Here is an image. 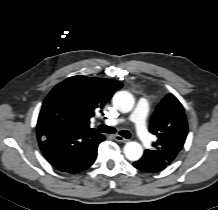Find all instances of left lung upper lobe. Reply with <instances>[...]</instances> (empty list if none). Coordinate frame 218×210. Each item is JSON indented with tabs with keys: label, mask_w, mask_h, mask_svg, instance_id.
I'll return each mask as SVG.
<instances>
[{
	"label": "left lung upper lobe",
	"mask_w": 218,
	"mask_h": 210,
	"mask_svg": "<svg viewBox=\"0 0 218 210\" xmlns=\"http://www.w3.org/2000/svg\"><path fill=\"white\" fill-rule=\"evenodd\" d=\"M149 130L158 140L153 144L154 149L148 151L155 159L170 164L183 148L188 133L184 108L174 95H166L158 104Z\"/></svg>",
	"instance_id": "1"
}]
</instances>
